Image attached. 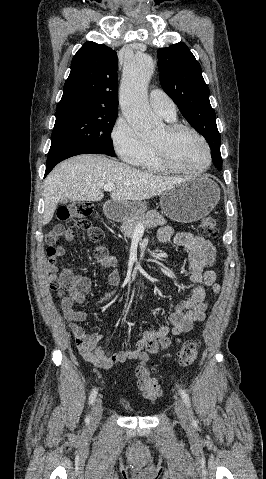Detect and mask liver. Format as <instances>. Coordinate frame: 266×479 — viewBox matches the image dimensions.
Returning <instances> with one entry per match:
<instances>
[{
    "label": "liver",
    "instance_id": "obj_1",
    "mask_svg": "<svg viewBox=\"0 0 266 479\" xmlns=\"http://www.w3.org/2000/svg\"><path fill=\"white\" fill-rule=\"evenodd\" d=\"M189 178L167 177L144 172L103 155H79L57 165L44 181L43 224H48L60 199L100 201L107 184L115 202L141 201L160 195Z\"/></svg>",
    "mask_w": 266,
    "mask_h": 479
}]
</instances>
